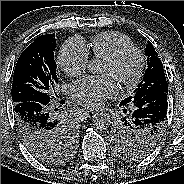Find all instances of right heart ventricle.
<instances>
[{
    "instance_id": "obj_1",
    "label": "right heart ventricle",
    "mask_w": 184,
    "mask_h": 184,
    "mask_svg": "<svg viewBox=\"0 0 184 184\" xmlns=\"http://www.w3.org/2000/svg\"><path fill=\"white\" fill-rule=\"evenodd\" d=\"M132 46L133 42L127 36L118 32L100 33L93 37L90 43L94 57L101 59L111 57L119 50Z\"/></svg>"
}]
</instances>
